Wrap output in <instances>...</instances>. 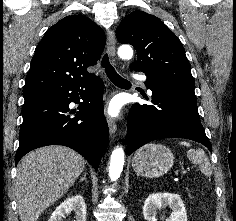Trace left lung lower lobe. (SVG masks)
<instances>
[{
    "instance_id": "0a47b994",
    "label": "left lung lower lobe",
    "mask_w": 236,
    "mask_h": 221,
    "mask_svg": "<svg viewBox=\"0 0 236 221\" xmlns=\"http://www.w3.org/2000/svg\"><path fill=\"white\" fill-rule=\"evenodd\" d=\"M145 85L152 91L154 105L136 103L131 107L127 120L129 155L144 144L160 138L191 139L212 151L200 122L193 88L165 83L152 77L147 78Z\"/></svg>"
}]
</instances>
